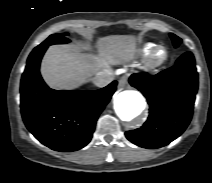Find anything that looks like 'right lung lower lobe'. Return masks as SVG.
<instances>
[{
  "label": "right lung lower lobe",
  "instance_id": "98d812e1",
  "mask_svg": "<svg viewBox=\"0 0 212 183\" xmlns=\"http://www.w3.org/2000/svg\"><path fill=\"white\" fill-rule=\"evenodd\" d=\"M48 46H37L28 57L20 87L22 117L27 129L45 146L60 152L76 151L90 142L117 82L95 91L50 89L39 72Z\"/></svg>",
  "mask_w": 212,
  "mask_h": 183
}]
</instances>
